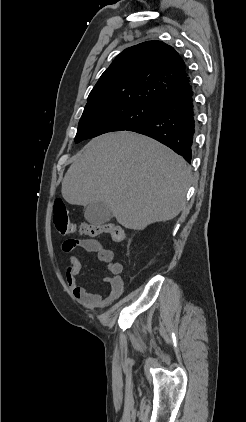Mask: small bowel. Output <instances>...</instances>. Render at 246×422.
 I'll return each mask as SVG.
<instances>
[{"mask_svg":"<svg viewBox=\"0 0 246 422\" xmlns=\"http://www.w3.org/2000/svg\"><path fill=\"white\" fill-rule=\"evenodd\" d=\"M62 248L69 260L65 271L66 281L76 299L91 308H100L111 305L122 295L124 289L121 278L122 264L114 260L113 251L105 248L95 239H67ZM77 248L96 254L97 258L107 265L111 276L105 279L108 284V291L105 294L89 292L79 283L78 276L82 265L74 254Z\"/></svg>","mask_w":246,"mask_h":422,"instance_id":"obj_1","label":"small bowel"}]
</instances>
